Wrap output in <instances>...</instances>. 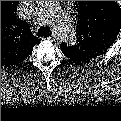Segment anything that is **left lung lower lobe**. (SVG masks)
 <instances>
[{
  "mask_svg": "<svg viewBox=\"0 0 121 121\" xmlns=\"http://www.w3.org/2000/svg\"><path fill=\"white\" fill-rule=\"evenodd\" d=\"M66 56H69V54L68 53H64ZM70 57V56H69Z\"/></svg>",
  "mask_w": 121,
  "mask_h": 121,
  "instance_id": "1",
  "label": "left lung lower lobe"
}]
</instances>
